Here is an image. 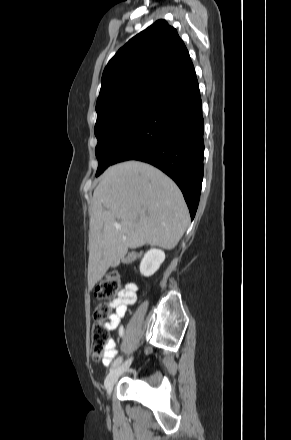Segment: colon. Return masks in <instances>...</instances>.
I'll return each instance as SVG.
<instances>
[{"instance_id":"1","label":"colon","mask_w":291,"mask_h":440,"mask_svg":"<svg viewBox=\"0 0 291 440\" xmlns=\"http://www.w3.org/2000/svg\"><path fill=\"white\" fill-rule=\"evenodd\" d=\"M123 289L119 274L116 271H111L96 285L94 295L99 300H106L122 293ZM108 311L107 305L101 303L94 314L95 322L90 334V353L95 360H103L108 350V329L102 323L107 317Z\"/></svg>"}]
</instances>
